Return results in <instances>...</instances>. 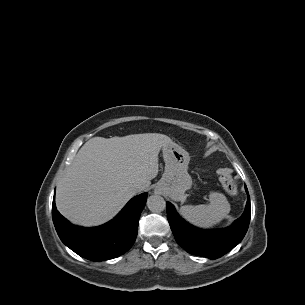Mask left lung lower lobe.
<instances>
[{"instance_id": "left-lung-lower-lobe-1", "label": "left lung lower lobe", "mask_w": 305, "mask_h": 305, "mask_svg": "<svg viewBox=\"0 0 305 305\" xmlns=\"http://www.w3.org/2000/svg\"><path fill=\"white\" fill-rule=\"evenodd\" d=\"M166 205L167 218L177 243L193 255L210 259L223 256L241 242L249 226V195L242 216L231 226L215 230H202L191 226L178 215L171 203L167 202Z\"/></svg>"}]
</instances>
